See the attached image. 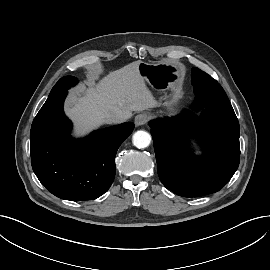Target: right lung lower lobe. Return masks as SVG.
Returning a JSON list of instances; mask_svg holds the SVG:
<instances>
[{"instance_id": "1", "label": "right lung lower lobe", "mask_w": 270, "mask_h": 270, "mask_svg": "<svg viewBox=\"0 0 270 270\" xmlns=\"http://www.w3.org/2000/svg\"><path fill=\"white\" fill-rule=\"evenodd\" d=\"M67 91L48 97L33 120L31 163L39 181L55 196L71 201L93 200L111 186L119 146L134 129L123 123L73 140L71 121L63 112Z\"/></svg>"}]
</instances>
